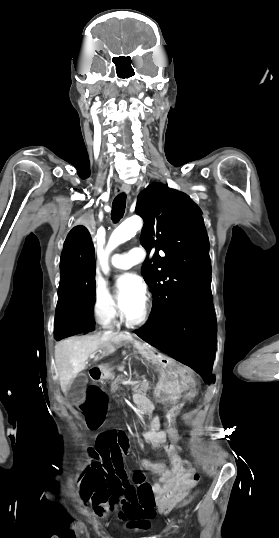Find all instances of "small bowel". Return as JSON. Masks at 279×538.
I'll return each mask as SVG.
<instances>
[{"mask_svg":"<svg viewBox=\"0 0 279 538\" xmlns=\"http://www.w3.org/2000/svg\"><path fill=\"white\" fill-rule=\"evenodd\" d=\"M178 404L170 406L164 416L166 428L161 429V420L155 417L148 425L145 439L157 449H162L169 454L172 459V468L167 469L161 463H152L141 460V465L148 470L160 474L158 482L154 485L156 503L159 509L172 506L176 500L183 497L196 482L184 480L179 473V448L176 445L179 436L175 428V418L179 412ZM168 440L171 442L169 443ZM147 517H135L136 525L140 528L148 526Z\"/></svg>","mask_w":279,"mask_h":538,"instance_id":"obj_1","label":"small bowel"}]
</instances>
